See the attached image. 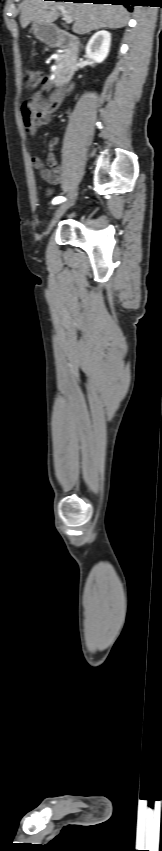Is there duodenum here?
Returning a JSON list of instances; mask_svg holds the SVG:
<instances>
[{
  "label": "duodenum",
  "mask_w": 162,
  "mask_h": 851,
  "mask_svg": "<svg viewBox=\"0 0 162 851\" xmlns=\"http://www.w3.org/2000/svg\"><path fill=\"white\" fill-rule=\"evenodd\" d=\"M49 42L52 46L66 47L69 50L68 64L62 69L61 77L59 78L61 81L60 84H66L72 79L75 69L78 66L79 40L72 34L59 29L51 34Z\"/></svg>",
  "instance_id": "obj_1"
}]
</instances>
